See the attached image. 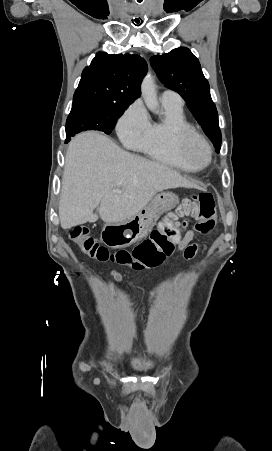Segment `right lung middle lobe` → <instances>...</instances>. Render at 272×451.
Segmentation results:
<instances>
[{
	"label": "right lung middle lobe",
	"instance_id": "1",
	"mask_svg": "<svg viewBox=\"0 0 272 451\" xmlns=\"http://www.w3.org/2000/svg\"><path fill=\"white\" fill-rule=\"evenodd\" d=\"M128 106L97 102L73 103L66 121V140L86 130H98L110 134L117 119Z\"/></svg>",
	"mask_w": 272,
	"mask_h": 451
}]
</instances>
